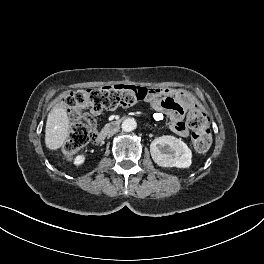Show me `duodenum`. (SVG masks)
I'll return each instance as SVG.
<instances>
[{
    "label": "duodenum",
    "mask_w": 264,
    "mask_h": 264,
    "mask_svg": "<svg viewBox=\"0 0 264 264\" xmlns=\"http://www.w3.org/2000/svg\"><path fill=\"white\" fill-rule=\"evenodd\" d=\"M123 119H114L108 122L100 132H97L95 135V140L97 142H102L109 133L113 132L116 128L120 126Z\"/></svg>",
    "instance_id": "410a0bca"
}]
</instances>
